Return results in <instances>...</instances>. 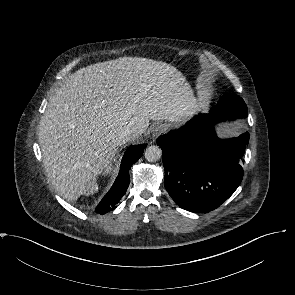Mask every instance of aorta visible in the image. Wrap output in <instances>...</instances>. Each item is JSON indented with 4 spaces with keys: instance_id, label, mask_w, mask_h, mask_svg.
<instances>
[{
    "instance_id": "aorta-1",
    "label": "aorta",
    "mask_w": 295,
    "mask_h": 295,
    "mask_svg": "<svg viewBox=\"0 0 295 295\" xmlns=\"http://www.w3.org/2000/svg\"><path fill=\"white\" fill-rule=\"evenodd\" d=\"M162 157V150L159 146L151 145L145 151V158L149 162H156Z\"/></svg>"
}]
</instances>
